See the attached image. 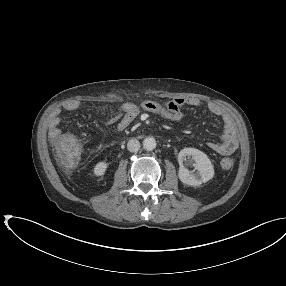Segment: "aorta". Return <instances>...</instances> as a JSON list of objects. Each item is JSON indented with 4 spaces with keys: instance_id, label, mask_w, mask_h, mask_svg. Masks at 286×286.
Masks as SVG:
<instances>
[{
    "instance_id": "obj_1",
    "label": "aorta",
    "mask_w": 286,
    "mask_h": 286,
    "mask_svg": "<svg viewBox=\"0 0 286 286\" xmlns=\"http://www.w3.org/2000/svg\"><path fill=\"white\" fill-rule=\"evenodd\" d=\"M156 140L153 137H147L143 141V147L147 151H152L156 148Z\"/></svg>"
}]
</instances>
